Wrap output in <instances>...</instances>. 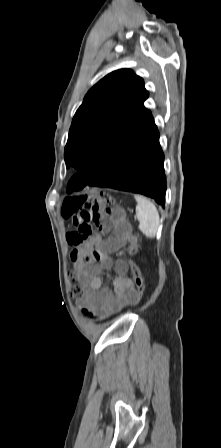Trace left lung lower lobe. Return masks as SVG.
I'll list each match as a JSON object with an SVG mask.
<instances>
[{
    "mask_svg": "<svg viewBox=\"0 0 221 448\" xmlns=\"http://www.w3.org/2000/svg\"><path fill=\"white\" fill-rule=\"evenodd\" d=\"M87 187H109L140 193L164 207V154L152 115L96 168L82 170L68 183L67 192Z\"/></svg>",
    "mask_w": 221,
    "mask_h": 448,
    "instance_id": "obj_1",
    "label": "left lung lower lobe"
}]
</instances>
